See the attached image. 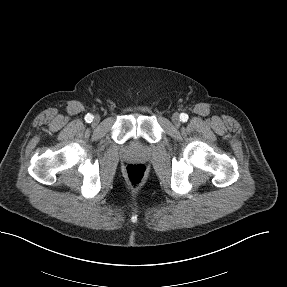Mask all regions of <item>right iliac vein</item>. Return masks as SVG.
<instances>
[{
  "mask_svg": "<svg viewBox=\"0 0 287 287\" xmlns=\"http://www.w3.org/2000/svg\"><path fill=\"white\" fill-rule=\"evenodd\" d=\"M99 122H100V117H99L98 115H96V116L93 118V125H97Z\"/></svg>",
  "mask_w": 287,
  "mask_h": 287,
  "instance_id": "63e3f726",
  "label": "right iliac vein"
}]
</instances>
